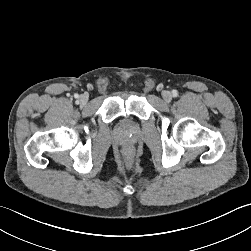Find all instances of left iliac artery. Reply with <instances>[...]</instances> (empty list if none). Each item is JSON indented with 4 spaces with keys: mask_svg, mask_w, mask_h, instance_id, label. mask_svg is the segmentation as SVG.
I'll list each match as a JSON object with an SVG mask.
<instances>
[{
    "mask_svg": "<svg viewBox=\"0 0 251 251\" xmlns=\"http://www.w3.org/2000/svg\"><path fill=\"white\" fill-rule=\"evenodd\" d=\"M173 96H177V91L173 90Z\"/></svg>",
    "mask_w": 251,
    "mask_h": 251,
    "instance_id": "obj_1",
    "label": "left iliac artery"
}]
</instances>
